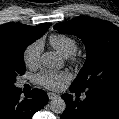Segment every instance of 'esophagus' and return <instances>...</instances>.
Returning a JSON list of instances; mask_svg holds the SVG:
<instances>
[{
  "label": "esophagus",
  "mask_w": 119,
  "mask_h": 119,
  "mask_svg": "<svg viewBox=\"0 0 119 119\" xmlns=\"http://www.w3.org/2000/svg\"><path fill=\"white\" fill-rule=\"evenodd\" d=\"M56 97H58L57 94L51 93V92L48 93V98H49L50 100H52V99H54V98H56Z\"/></svg>",
  "instance_id": "esophagus-1"
}]
</instances>
